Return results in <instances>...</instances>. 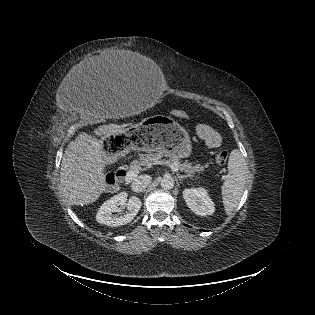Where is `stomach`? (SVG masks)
I'll use <instances>...</instances> for the list:
<instances>
[{"label": "stomach", "mask_w": 315, "mask_h": 315, "mask_svg": "<svg viewBox=\"0 0 315 315\" xmlns=\"http://www.w3.org/2000/svg\"><path fill=\"white\" fill-rule=\"evenodd\" d=\"M102 148L108 154L124 155L138 150L180 159L190 156L192 144L188 132L178 122L168 116L155 115L106 137Z\"/></svg>", "instance_id": "stomach-1"}]
</instances>
